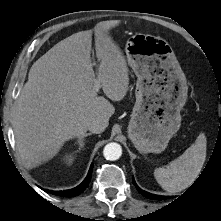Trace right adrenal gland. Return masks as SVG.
<instances>
[{
  "label": "right adrenal gland",
  "mask_w": 221,
  "mask_h": 221,
  "mask_svg": "<svg viewBox=\"0 0 221 221\" xmlns=\"http://www.w3.org/2000/svg\"><path fill=\"white\" fill-rule=\"evenodd\" d=\"M92 135L91 133H86L84 135H82L81 137L78 138L77 142L79 144V148L77 150V152H79L85 145V142H84V138L87 137V136H90Z\"/></svg>",
  "instance_id": "right-adrenal-gland-1"
}]
</instances>
